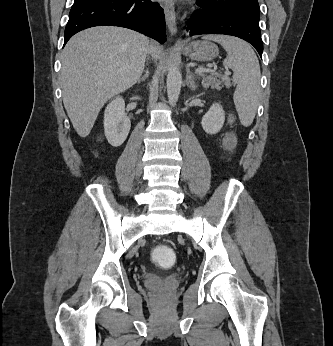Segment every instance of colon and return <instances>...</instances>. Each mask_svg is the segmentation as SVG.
Returning <instances> with one entry per match:
<instances>
[{"label": "colon", "instance_id": "1", "mask_svg": "<svg viewBox=\"0 0 333 346\" xmlns=\"http://www.w3.org/2000/svg\"><path fill=\"white\" fill-rule=\"evenodd\" d=\"M223 144L226 150L233 151L237 146V136L234 131L229 130L223 137ZM169 244H156L154 250V263L159 264L161 270L174 268L176 255L174 249H169Z\"/></svg>", "mask_w": 333, "mask_h": 346}]
</instances>
